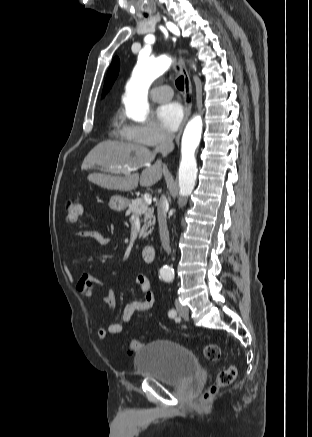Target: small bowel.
<instances>
[{"mask_svg":"<svg viewBox=\"0 0 312 437\" xmlns=\"http://www.w3.org/2000/svg\"><path fill=\"white\" fill-rule=\"evenodd\" d=\"M73 237H94L99 238L101 235L95 230H87L77 232ZM104 242H108V239L102 238ZM136 284L143 293V299L132 300L127 303L123 309L122 319L124 322L129 323L133 320L136 312H144L150 310L156 301L155 293L152 289V284L149 278L143 274H139L135 279ZM95 285H103V282L90 273H86L82 276L78 282L76 289L79 295L85 300H89L93 294V288ZM103 303L109 310L114 311L116 308V298L111 291L103 297ZM122 331V324L116 321H110L106 327H99L97 335L100 340H104L108 334H119Z\"/></svg>","mask_w":312,"mask_h":437,"instance_id":"c3829d8e","label":"small bowel"}]
</instances>
